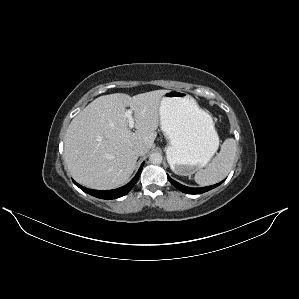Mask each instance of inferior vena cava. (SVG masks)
<instances>
[{
	"label": "inferior vena cava",
	"mask_w": 299,
	"mask_h": 299,
	"mask_svg": "<svg viewBox=\"0 0 299 299\" xmlns=\"http://www.w3.org/2000/svg\"><path fill=\"white\" fill-rule=\"evenodd\" d=\"M134 152L137 156H143L147 153V149L144 145H137L134 148Z\"/></svg>",
	"instance_id": "602c4592"
}]
</instances>
